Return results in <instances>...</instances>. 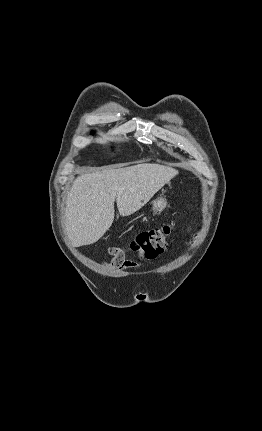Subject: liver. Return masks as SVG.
I'll return each instance as SVG.
<instances>
[{"mask_svg":"<svg viewBox=\"0 0 262 431\" xmlns=\"http://www.w3.org/2000/svg\"><path fill=\"white\" fill-rule=\"evenodd\" d=\"M178 175L172 167L142 163L79 176L68 193L66 233L75 247L97 242L111 227L116 200L121 216L142 208Z\"/></svg>","mask_w":262,"mask_h":431,"instance_id":"liver-1","label":"liver"}]
</instances>
